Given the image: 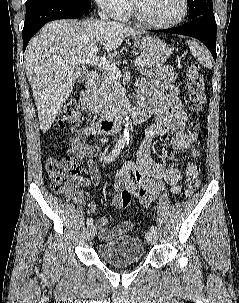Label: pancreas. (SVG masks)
Returning <instances> with one entry per match:
<instances>
[{
	"mask_svg": "<svg viewBox=\"0 0 239 303\" xmlns=\"http://www.w3.org/2000/svg\"><path fill=\"white\" fill-rule=\"evenodd\" d=\"M137 60L143 61L145 67H139L141 73L163 79L166 82H174L178 79V74L173 67L154 63L147 57L141 55ZM123 97L122 87L119 78L113 77L105 72L93 91V101L91 108L96 115L109 114L116 110V106L121 103Z\"/></svg>",
	"mask_w": 239,
	"mask_h": 303,
	"instance_id": "1",
	"label": "pancreas"
}]
</instances>
